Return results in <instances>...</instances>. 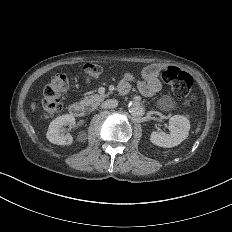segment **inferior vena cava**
<instances>
[{
    "instance_id": "obj_1",
    "label": "inferior vena cava",
    "mask_w": 232,
    "mask_h": 232,
    "mask_svg": "<svg viewBox=\"0 0 232 232\" xmlns=\"http://www.w3.org/2000/svg\"><path fill=\"white\" fill-rule=\"evenodd\" d=\"M117 106H118V101L116 99H108L104 101L101 105V107L104 109L115 108Z\"/></svg>"
}]
</instances>
